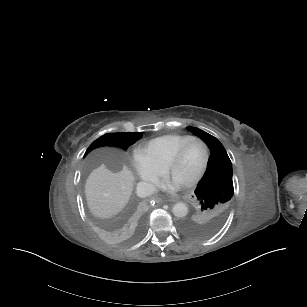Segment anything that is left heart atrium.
<instances>
[{"mask_svg":"<svg viewBox=\"0 0 307 307\" xmlns=\"http://www.w3.org/2000/svg\"><path fill=\"white\" fill-rule=\"evenodd\" d=\"M181 185L173 182L172 180L168 179L165 183H160L157 185V187L165 190H174L179 188Z\"/></svg>","mask_w":307,"mask_h":307,"instance_id":"left-heart-atrium-1","label":"left heart atrium"}]
</instances>
